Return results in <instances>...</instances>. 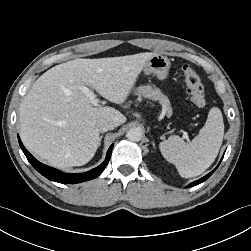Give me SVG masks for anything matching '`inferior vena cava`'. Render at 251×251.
<instances>
[{"label":"inferior vena cava","instance_id":"602c4592","mask_svg":"<svg viewBox=\"0 0 251 251\" xmlns=\"http://www.w3.org/2000/svg\"><path fill=\"white\" fill-rule=\"evenodd\" d=\"M96 125L98 130L102 133L112 130L115 127V125L107 119H99Z\"/></svg>","mask_w":251,"mask_h":251}]
</instances>
